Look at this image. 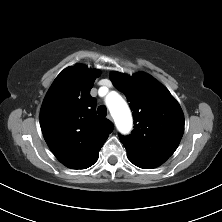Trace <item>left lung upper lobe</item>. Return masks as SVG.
I'll use <instances>...</instances> for the list:
<instances>
[{
	"label": "left lung upper lobe",
	"instance_id": "left-lung-upper-lobe-1",
	"mask_svg": "<svg viewBox=\"0 0 222 222\" xmlns=\"http://www.w3.org/2000/svg\"><path fill=\"white\" fill-rule=\"evenodd\" d=\"M111 81L126 95L133 111L132 134L119 136L130 161L144 169L161 165L174 153L183 135L185 121L180 105L149 74L113 72Z\"/></svg>",
	"mask_w": 222,
	"mask_h": 222
}]
</instances>
